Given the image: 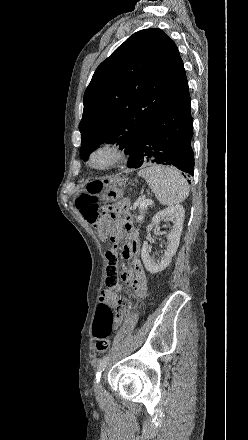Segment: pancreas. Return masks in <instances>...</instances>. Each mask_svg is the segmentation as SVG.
Listing matches in <instances>:
<instances>
[{
    "mask_svg": "<svg viewBox=\"0 0 248 440\" xmlns=\"http://www.w3.org/2000/svg\"><path fill=\"white\" fill-rule=\"evenodd\" d=\"M146 211H147V206H141V204H140L139 215L134 217L136 223L141 224L144 222V216H145Z\"/></svg>",
    "mask_w": 248,
    "mask_h": 440,
    "instance_id": "pancreas-1",
    "label": "pancreas"
}]
</instances>
